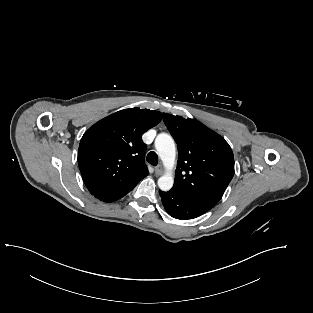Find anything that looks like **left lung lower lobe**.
<instances>
[{
	"instance_id": "1",
	"label": "left lung lower lobe",
	"mask_w": 313,
	"mask_h": 313,
	"mask_svg": "<svg viewBox=\"0 0 313 313\" xmlns=\"http://www.w3.org/2000/svg\"><path fill=\"white\" fill-rule=\"evenodd\" d=\"M159 194L168 214L176 219L196 218L213 208L206 203L184 197L172 190L168 192L159 190Z\"/></svg>"
}]
</instances>
